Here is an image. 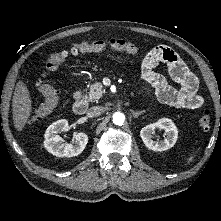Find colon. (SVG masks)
Here are the masks:
<instances>
[{
    "label": "colon",
    "mask_w": 221,
    "mask_h": 221,
    "mask_svg": "<svg viewBox=\"0 0 221 221\" xmlns=\"http://www.w3.org/2000/svg\"><path fill=\"white\" fill-rule=\"evenodd\" d=\"M105 50L125 52L131 55L139 54V47L126 40L112 39L110 41H90L81 42L71 45L68 49H64L53 53L49 56L45 63L46 72H51L63 63L69 54H85V53H97ZM38 91L44 97V102L35 111L32 116V120H39L48 115L53 109H55L59 103V91L52 85L37 83ZM199 125L204 131H208L211 127V117L208 113H205L199 120Z\"/></svg>",
    "instance_id": "colon-1"
}]
</instances>
